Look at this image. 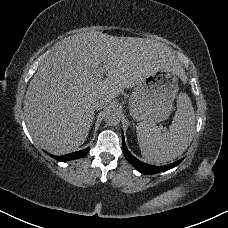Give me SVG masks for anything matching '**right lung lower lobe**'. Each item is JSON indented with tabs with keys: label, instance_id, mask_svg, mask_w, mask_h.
<instances>
[{
	"label": "right lung lower lobe",
	"instance_id": "obj_1",
	"mask_svg": "<svg viewBox=\"0 0 228 228\" xmlns=\"http://www.w3.org/2000/svg\"><path fill=\"white\" fill-rule=\"evenodd\" d=\"M89 150H90L89 148H86V149H83V150H80V151H77L74 153H69V154H66L63 156H54V155L48 154L47 152L46 153L48 155H50L51 157L55 158L56 160L64 162V161H70V160L84 157L89 152Z\"/></svg>",
	"mask_w": 228,
	"mask_h": 228
}]
</instances>
